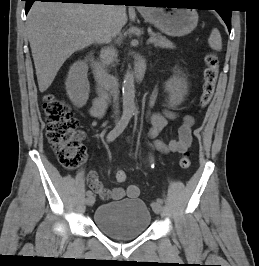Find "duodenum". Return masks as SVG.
<instances>
[{"label": "duodenum", "mask_w": 259, "mask_h": 266, "mask_svg": "<svg viewBox=\"0 0 259 266\" xmlns=\"http://www.w3.org/2000/svg\"><path fill=\"white\" fill-rule=\"evenodd\" d=\"M87 61L94 70L95 78L100 89H114L117 85L118 78L109 74L95 59L93 52L88 53ZM146 69L144 60H138L132 74V78L139 82L142 80Z\"/></svg>", "instance_id": "obj_1"}]
</instances>
